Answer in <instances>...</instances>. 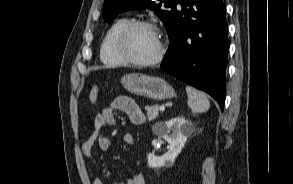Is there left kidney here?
Instances as JSON below:
<instances>
[{
	"label": "left kidney",
	"mask_w": 293,
	"mask_h": 184,
	"mask_svg": "<svg viewBox=\"0 0 293 184\" xmlns=\"http://www.w3.org/2000/svg\"><path fill=\"white\" fill-rule=\"evenodd\" d=\"M194 125L184 117H175L159 125L160 136L169 143V149L161 157L152 153L147 155L148 166L161 168L172 166L176 157L181 153L187 138L194 132Z\"/></svg>",
	"instance_id": "5707ae66"
}]
</instances>
